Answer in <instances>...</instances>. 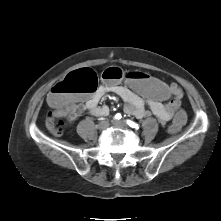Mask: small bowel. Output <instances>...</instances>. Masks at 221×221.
I'll return each instance as SVG.
<instances>
[{
    "label": "small bowel",
    "instance_id": "1",
    "mask_svg": "<svg viewBox=\"0 0 221 221\" xmlns=\"http://www.w3.org/2000/svg\"><path fill=\"white\" fill-rule=\"evenodd\" d=\"M171 85L176 91L175 99L171 103L163 104L159 101L151 100L146 95L137 94L132 89H125L121 84H102L94 93L79 96L75 101L74 107L69 111L68 118L74 120L83 111L95 116L108 115L109 108L105 105L100 106L99 103L107 94L113 93L125 102L124 111L127 114L136 118L148 117L152 114L162 124H166L171 121L174 110L180 107L183 95L181 88L176 83ZM78 100L82 103L79 104Z\"/></svg>",
    "mask_w": 221,
    "mask_h": 221
}]
</instances>
